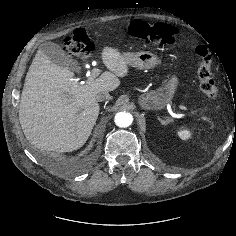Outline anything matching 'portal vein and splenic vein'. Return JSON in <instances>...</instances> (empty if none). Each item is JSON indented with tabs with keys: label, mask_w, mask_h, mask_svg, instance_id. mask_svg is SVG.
I'll return each mask as SVG.
<instances>
[{
	"label": "portal vein and splenic vein",
	"mask_w": 236,
	"mask_h": 236,
	"mask_svg": "<svg viewBox=\"0 0 236 236\" xmlns=\"http://www.w3.org/2000/svg\"><path fill=\"white\" fill-rule=\"evenodd\" d=\"M99 74H100V70H99L98 68H94V69L92 70L91 75L88 77V80H89V81L93 80V79H94L95 77H97ZM179 108L182 109V110H185V111L188 110L187 107L182 106V105H180Z\"/></svg>",
	"instance_id": "portal-vein-and-splenic-vein-1"
}]
</instances>
